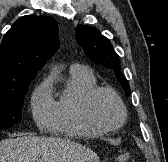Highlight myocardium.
Here are the masks:
<instances>
[{"label":"myocardium","instance_id":"1","mask_svg":"<svg viewBox=\"0 0 168 162\" xmlns=\"http://www.w3.org/2000/svg\"><path fill=\"white\" fill-rule=\"evenodd\" d=\"M101 93H107L111 95L112 97H114L120 107L121 119L119 123L114 126H107L103 124L102 122L98 120V118L96 117L94 113V101L96 97ZM83 108H84L85 116L88 119V121L93 126L102 130L103 132L117 131L124 126L127 120V108L125 106L123 99L114 89L110 87L96 86L92 90H90L84 99Z\"/></svg>","mask_w":168,"mask_h":162}]
</instances>
